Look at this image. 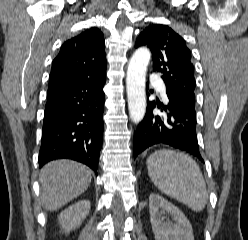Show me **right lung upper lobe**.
<instances>
[{
	"mask_svg": "<svg viewBox=\"0 0 248 240\" xmlns=\"http://www.w3.org/2000/svg\"><path fill=\"white\" fill-rule=\"evenodd\" d=\"M103 33L90 28L66 41L53 60L48 91L106 74Z\"/></svg>",
	"mask_w": 248,
	"mask_h": 240,
	"instance_id": "obj_1",
	"label": "right lung upper lobe"
}]
</instances>
